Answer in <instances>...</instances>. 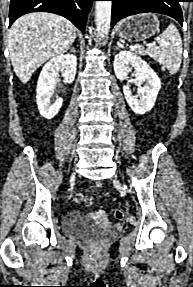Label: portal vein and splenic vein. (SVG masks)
Instances as JSON below:
<instances>
[{"mask_svg": "<svg viewBox=\"0 0 193 287\" xmlns=\"http://www.w3.org/2000/svg\"><path fill=\"white\" fill-rule=\"evenodd\" d=\"M151 45H153V44H148L147 46H151Z\"/></svg>", "mask_w": 193, "mask_h": 287, "instance_id": "obj_1", "label": "portal vein and splenic vein"}]
</instances>
